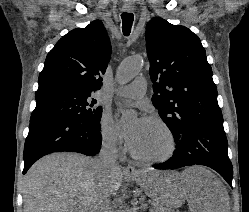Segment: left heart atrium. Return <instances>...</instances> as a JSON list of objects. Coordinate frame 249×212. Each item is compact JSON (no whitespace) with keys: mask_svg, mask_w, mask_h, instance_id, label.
<instances>
[{"mask_svg":"<svg viewBox=\"0 0 249 212\" xmlns=\"http://www.w3.org/2000/svg\"><path fill=\"white\" fill-rule=\"evenodd\" d=\"M143 120L138 119L129 124L123 122L121 113L118 114L117 124L119 131L124 138L128 148L134 151L138 145Z\"/></svg>","mask_w":249,"mask_h":212,"instance_id":"left-heart-atrium-1","label":"left heart atrium"}]
</instances>
